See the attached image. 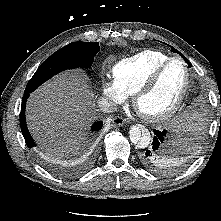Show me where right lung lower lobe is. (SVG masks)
I'll use <instances>...</instances> for the list:
<instances>
[{
	"label": "right lung lower lobe",
	"mask_w": 221,
	"mask_h": 221,
	"mask_svg": "<svg viewBox=\"0 0 221 221\" xmlns=\"http://www.w3.org/2000/svg\"><path fill=\"white\" fill-rule=\"evenodd\" d=\"M29 96L28 94H24L23 100H22V106H21V113H20V124H21V131L24 136L25 142L29 148H33L36 146L34 140L32 139L26 125V119H25V105L27 98ZM102 127V122H97L92 126L93 131H98Z\"/></svg>",
	"instance_id": "right-lung-lower-lobe-1"
}]
</instances>
